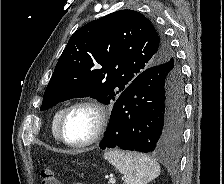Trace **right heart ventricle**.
I'll list each match as a JSON object with an SVG mask.
<instances>
[{
    "label": "right heart ventricle",
    "mask_w": 224,
    "mask_h": 184,
    "mask_svg": "<svg viewBox=\"0 0 224 184\" xmlns=\"http://www.w3.org/2000/svg\"><path fill=\"white\" fill-rule=\"evenodd\" d=\"M63 108H60L58 109L53 117H52V121H51V132H52V135L54 137V139L56 141H59V137H58V122H59V119H60V116L61 114L63 113Z\"/></svg>",
    "instance_id": "1"
}]
</instances>
